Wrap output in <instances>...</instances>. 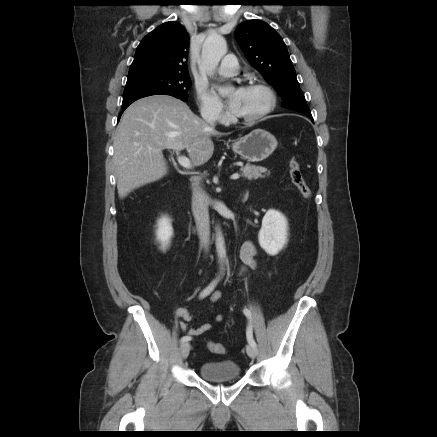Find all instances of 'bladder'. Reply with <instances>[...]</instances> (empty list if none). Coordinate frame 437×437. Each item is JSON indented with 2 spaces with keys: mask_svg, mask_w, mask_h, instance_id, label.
<instances>
[{
  "mask_svg": "<svg viewBox=\"0 0 437 437\" xmlns=\"http://www.w3.org/2000/svg\"><path fill=\"white\" fill-rule=\"evenodd\" d=\"M201 378L211 382L237 380L241 376L240 366L231 360L206 361L199 367Z\"/></svg>",
  "mask_w": 437,
  "mask_h": 437,
  "instance_id": "1",
  "label": "bladder"
}]
</instances>
